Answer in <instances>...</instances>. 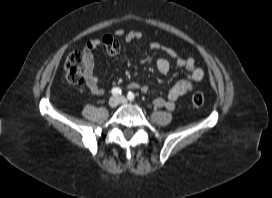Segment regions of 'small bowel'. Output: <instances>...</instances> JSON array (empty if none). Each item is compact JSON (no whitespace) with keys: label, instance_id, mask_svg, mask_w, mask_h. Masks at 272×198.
<instances>
[{"label":"small bowel","instance_id":"obj_1","mask_svg":"<svg viewBox=\"0 0 272 198\" xmlns=\"http://www.w3.org/2000/svg\"><path fill=\"white\" fill-rule=\"evenodd\" d=\"M143 33L141 31L132 30L126 31L124 29H117L113 34H106L100 38L89 40L84 49L85 59V80L90 92L94 95L101 96L104 94V89L99 85L98 78L95 74V55L94 52L98 47H104L108 54L114 56L120 51V43L117 38H123L126 42L141 39ZM149 47L153 50H162L170 58H172L178 67L185 68L189 72L187 79L177 82L166 93V98H156L154 104L157 107L173 110L175 103L181 96L191 92L194 88V83L202 80L204 71L195 66L193 57H183L179 55L174 49L161 47L157 43H150ZM156 68L162 73L166 74L170 69V62L166 58H158L156 60ZM128 88L147 92L149 87L146 84L139 82H131Z\"/></svg>","mask_w":272,"mask_h":198}]
</instances>
